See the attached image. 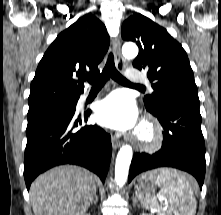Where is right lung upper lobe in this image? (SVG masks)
Returning <instances> with one entry per match:
<instances>
[{
  "label": "right lung upper lobe",
  "instance_id": "right-lung-upper-lobe-1",
  "mask_svg": "<svg viewBox=\"0 0 221 215\" xmlns=\"http://www.w3.org/2000/svg\"><path fill=\"white\" fill-rule=\"evenodd\" d=\"M110 38L92 14L61 32L39 62L30 86L29 108L79 99L84 80L99 74Z\"/></svg>",
  "mask_w": 221,
  "mask_h": 215
}]
</instances>
